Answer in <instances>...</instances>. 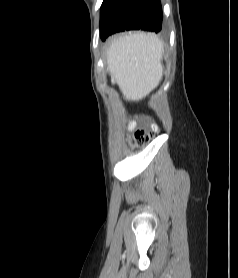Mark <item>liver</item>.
<instances>
[{"instance_id":"liver-1","label":"liver","mask_w":238,"mask_h":278,"mask_svg":"<svg viewBox=\"0 0 238 278\" xmlns=\"http://www.w3.org/2000/svg\"><path fill=\"white\" fill-rule=\"evenodd\" d=\"M163 42L153 33L133 32L115 38L107 50L111 82L128 101L145 98L160 83Z\"/></svg>"}]
</instances>
